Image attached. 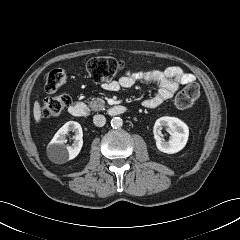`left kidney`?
Masks as SVG:
<instances>
[{
  "mask_svg": "<svg viewBox=\"0 0 240 240\" xmlns=\"http://www.w3.org/2000/svg\"><path fill=\"white\" fill-rule=\"evenodd\" d=\"M159 127H169L170 139L168 141L162 140L157 134ZM189 137L188 126L176 117L164 116L156 120L154 126V138L156 140L157 148L164 153L174 154L182 150Z\"/></svg>",
  "mask_w": 240,
  "mask_h": 240,
  "instance_id": "obj_1",
  "label": "left kidney"
}]
</instances>
